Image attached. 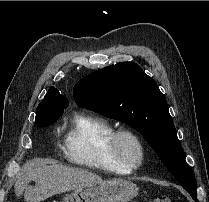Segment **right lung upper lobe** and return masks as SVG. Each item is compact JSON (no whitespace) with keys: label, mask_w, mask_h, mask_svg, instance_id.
Instances as JSON below:
<instances>
[{"label":"right lung upper lobe","mask_w":209,"mask_h":202,"mask_svg":"<svg viewBox=\"0 0 209 202\" xmlns=\"http://www.w3.org/2000/svg\"><path fill=\"white\" fill-rule=\"evenodd\" d=\"M43 104H49V107L54 108H67L69 102L68 99L65 96L61 95L56 88L50 87L43 101L40 103V105Z\"/></svg>","instance_id":"cb5924a9"}]
</instances>
